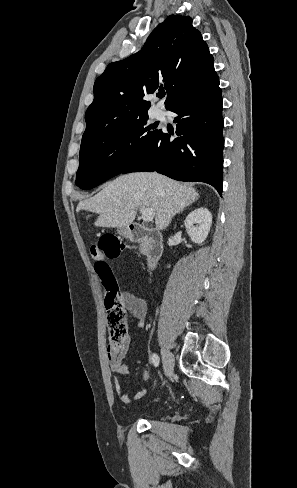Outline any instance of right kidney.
Instances as JSON below:
<instances>
[{
  "label": "right kidney",
  "mask_w": 297,
  "mask_h": 488,
  "mask_svg": "<svg viewBox=\"0 0 297 488\" xmlns=\"http://www.w3.org/2000/svg\"><path fill=\"white\" fill-rule=\"evenodd\" d=\"M196 224V226H195ZM212 214L207 208L200 207L190 212L184 225L192 242L202 244L210 231Z\"/></svg>",
  "instance_id": "right-kidney-1"
}]
</instances>
